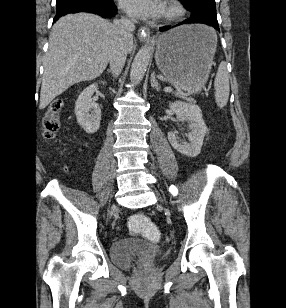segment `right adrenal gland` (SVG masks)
<instances>
[{
	"label": "right adrenal gland",
	"mask_w": 286,
	"mask_h": 308,
	"mask_svg": "<svg viewBox=\"0 0 286 308\" xmlns=\"http://www.w3.org/2000/svg\"><path fill=\"white\" fill-rule=\"evenodd\" d=\"M107 72H108V73H110V72H111V70H107Z\"/></svg>",
	"instance_id": "1"
}]
</instances>
